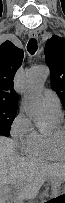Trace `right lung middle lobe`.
Segmentation results:
<instances>
[{
    "instance_id": "1",
    "label": "right lung middle lobe",
    "mask_w": 65,
    "mask_h": 203,
    "mask_svg": "<svg viewBox=\"0 0 65 203\" xmlns=\"http://www.w3.org/2000/svg\"><path fill=\"white\" fill-rule=\"evenodd\" d=\"M16 112L17 106L0 104V135L9 136Z\"/></svg>"
}]
</instances>
